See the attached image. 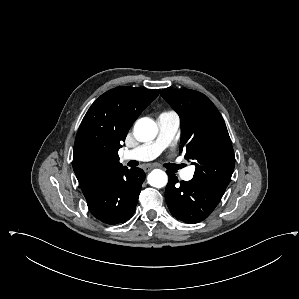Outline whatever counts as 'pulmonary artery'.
<instances>
[{
    "label": "pulmonary artery",
    "mask_w": 299,
    "mask_h": 299,
    "mask_svg": "<svg viewBox=\"0 0 299 299\" xmlns=\"http://www.w3.org/2000/svg\"><path fill=\"white\" fill-rule=\"evenodd\" d=\"M159 133L154 141L140 145L132 150L126 151L124 160L133 159L138 161H149L156 158L174 139L180 125L179 116L172 111L163 112L158 119ZM184 180H191L194 176V168L188 167L181 171Z\"/></svg>",
    "instance_id": "obj_1"
}]
</instances>
